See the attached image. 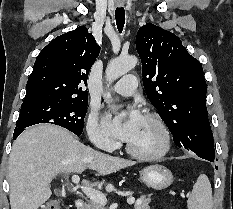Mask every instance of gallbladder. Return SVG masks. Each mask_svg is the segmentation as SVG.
Returning <instances> with one entry per match:
<instances>
[{"instance_id": "bac80fb5", "label": "gallbladder", "mask_w": 233, "mask_h": 209, "mask_svg": "<svg viewBox=\"0 0 233 209\" xmlns=\"http://www.w3.org/2000/svg\"><path fill=\"white\" fill-rule=\"evenodd\" d=\"M55 194L57 195H60L61 194V191L58 189V190H55Z\"/></svg>"}]
</instances>
